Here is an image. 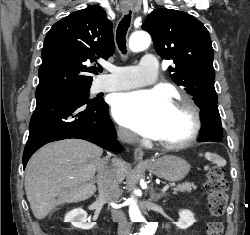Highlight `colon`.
<instances>
[{"mask_svg":"<svg viewBox=\"0 0 250 235\" xmlns=\"http://www.w3.org/2000/svg\"><path fill=\"white\" fill-rule=\"evenodd\" d=\"M205 191L207 193L208 208L212 220L206 224L207 235H223L224 226L219 218L224 214L228 203V182L225 169L212 167L206 176Z\"/></svg>","mask_w":250,"mask_h":235,"instance_id":"1","label":"colon"}]
</instances>
